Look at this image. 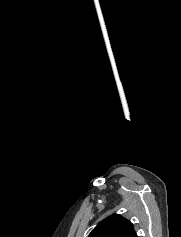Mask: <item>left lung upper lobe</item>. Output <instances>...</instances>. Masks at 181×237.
Wrapping results in <instances>:
<instances>
[{"instance_id": "left-lung-upper-lobe-1", "label": "left lung upper lobe", "mask_w": 181, "mask_h": 237, "mask_svg": "<svg viewBox=\"0 0 181 237\" xmlns=\"http://www.w3.org/2000/svg\"><path fill=\"white\" fill-rule=\"evenodd\" d=\"M88 237H137V234L129 220L113 214L101 221Z\"/></svg>"}]
</instances>
